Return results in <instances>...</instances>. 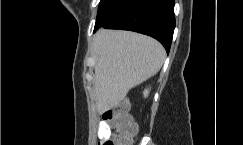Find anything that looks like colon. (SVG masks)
<instances>
[{
	"label": "colon",
	"instance_id": "1",
	"mask_svg": "<svg viewBox=\"0 0 243 145\" xmlns=\"http://www.w3.org/2000/svg\"><path fill=\"white\" fill-rule=\"evenodd\" d=\"M105 121H111L115 127L114 133L103 139L100 145H131L137 133V125L129 114V104L123 101L103 113Z\"/></svg>",
	"mask_w": 243,
	"mask_h": 145
}]
</instances>
